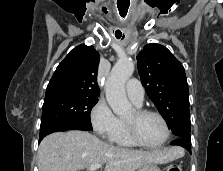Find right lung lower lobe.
<instances>
[{
	"label": "right lung lower lobe",
	"mask_w": 223,
	"mask_h": 171,
	"mask_svg": "<svg viewBox=\"0 0 223 171\" xmlns=\"http://www.w3.org/2000/svg\"><path fill=\"white\" fill-rule=\"evenodd\" d=\"M67 130H85L90 131L92 128L87 127L85 125L72 122V121H64V122H58L52 125H49L45 127L44 129L40 130V137L39 141H41L46 135L58 132V131H67Z\"/></svg>",
	"instance_id": "1"
}]
</instances>
